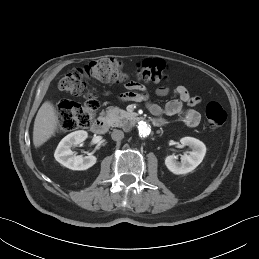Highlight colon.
Segmentation results:
<instances>
[{"label": "colon", "instance_id": "colon-1", "mask_svg": "<svg viewBox=\"0 0 259 259\" xmlns=\"http://www.w3.org/2000/svg\"><path fill=\"white\" fill-rule=\"evenodd\" d=\"M136 76L143 82L159 83L167 80L165 67L158 61L141 64ZM86 79L122 83L129 80V75L119 60L108 57L92 61L82 68H75L66 73L59 82V88L65 93L82 97L83 102L64 101L59 105V121L64 131L87 127L99 108V100L88 88ZM205 114L211 129L223 126L227 118L224 108L216 101H211L206 105Z\"/></svg>", "mask_w": 259, "mask_h": 259}]
</instances>
